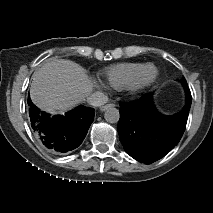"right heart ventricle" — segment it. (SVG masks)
<instances>
[{
    "label": "right heart ventricle",
    "instance_id": "right-heart-ventricle-1",
    "mask_svg": "<svg viewBox=\"0 0 213 213\" xmlns=\"http://www.w3.org/2000/svg\"><path fill=\"white\" fill-rule=\"evenodd\" d=\"M144 66V63L139 62L119 63L106 69L104 76L112 88L120 90L123 89Z\"/></svg>",
    "mask_w": 213,
    "mask_h": 213
}]
</instances>
